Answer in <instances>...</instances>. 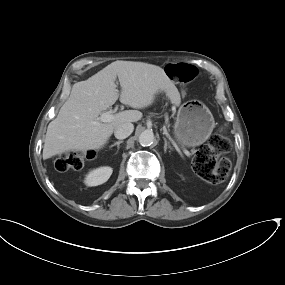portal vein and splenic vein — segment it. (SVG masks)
<instances>
[{"mask_svg": "<svg viewBox=\"0 0 285 285\" xmlns=\"http://www.w3.org/2000/svg\"><path fill=\"white\" fill-rule=\"evenodd\" d=\"M112 113H113V112H111V111L104 112V113L101 114L100 117H98V120H100L101 122H111V121H113V120L115 119V117H116V115H117V114L114 115V114H112ZM183 152H184L185 155H187V156H190V155H191V153H190L188 150H186V149H184Z\"/></svg>", "mask_w": 285, "mask_h": 285, "instance_id": "18ae733b", "label": "portal vein and splenic vein"}]
</instances>
